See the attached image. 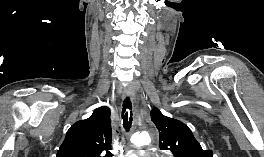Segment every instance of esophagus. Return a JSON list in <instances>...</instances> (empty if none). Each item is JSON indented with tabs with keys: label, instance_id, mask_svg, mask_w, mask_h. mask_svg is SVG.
<instances>
[{
	"label": "esophagus",
	"instance_id": "34e87169",
	"mask_svg": "<svg viewBox=\"0 0 264 157\" xmlns=\"http://www.w3.org/2000/svg\"><path fill=\"white\" fill-rule=\"evenodd\" d=\"M125 96H127V97L131 96V94H130V92L128 90L125 92Z\"/></svg>",
	"mask_w": 264,
	"mask_h": 157
}]
</instances>
